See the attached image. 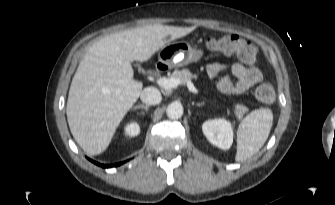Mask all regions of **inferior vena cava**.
Wrapping results in <instances>:
<instances>
[{"label": "inferior vena cava", "mask_w": 335, "mask_h": 205, "mask_svg": "<svg viewBox=\"0 0 335 205\" xmlns=\"http://www.w3.org/2000/svg\"><path fill=\"white\" fill-rule=\"evenodd\" d=\"M140 99L146 105H156L161 102L162 95L157 88L147 87L141 92Z\"/></svg>", "instance_id": "obj_1"}]
</instances>
